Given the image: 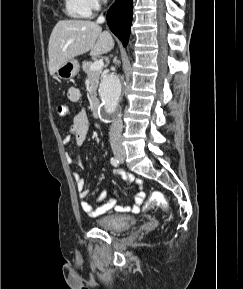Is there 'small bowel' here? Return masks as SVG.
Masks as SVG:
<instances>
[{"label": "small bowel", "mask_w": 243, "mask_h": 289, "mask_svg": "<svg viewBox=\"0 0 243 289\" xmlns=\"http://www.w3.org/2000/svg\"><path fill=\"white\" fill-rule=\"evenodd\" d=\"M67 97L72 102H78L80 99V91L76 87H69L67 90ZM91 129V124L89 122L87 113L85 111L78 112L72 119V123L69 128V133L64 137L63 141L65 144H68L72 139L74 140L77 146H81ZM68 163L75 164L80 169H83V164L78 157H74L71 154L66 155ZM114 174L125 181L127 184H134L138 192L135 195L134 203L129 206H119L116 205V199L111 197L108 201L106 200L107 193L102 191L101 194L97 197L96 202L99 204L98 207L94 208L87 201L89 196V190L85 188L84 178L77 172L74 173V179L76 186L79 192L80 205L82 210L90 217H97L109 213L112 209L116 212H133L136 213L140 210L141 204L145 199V193L143 191V184L140 179H136L134 176L126 173L123 170L116 169Z\"/></svg>", "instance_id": "small-bowel-1"}]
</instances>
